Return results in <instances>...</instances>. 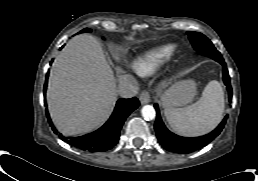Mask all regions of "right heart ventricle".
Instances as JSON below:
<instances>
[{"label":"right heart ventricle","mask_w":258,"mask_h":181,"mask_svg":"<svg viewBox=\"0 0 258 181\" xmlns=\"http://www.w3.org/2000/svg\"><path fill=\"white\" fill-rule=\"evenodd\" d=\"M175 45L165 44L147 50L132 62V68L140 75H149L169 61L175 53Z\"/></svg>","instance_id":"obj_1"}]
</instances>
